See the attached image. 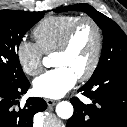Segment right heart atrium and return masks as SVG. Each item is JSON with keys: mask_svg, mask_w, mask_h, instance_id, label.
Returning <instances> with one entry per match:
<instances>
[{"mask_svg": "<svg viewBox=\"0 0 127 127\" xmlns=\"http://www.w3.org/2000/svg\"><path fill=\"white\" fill-rule=\"evenodd\" d=\"M17 60L29 76H37L43 69V53L34 42L21 40L16 47Z\"/></svg>", "mask_w": 127, "mask_h": 127, "instance_id": "right-heart-atrium-1", "label": "right heart atrium"}]
</instances>
